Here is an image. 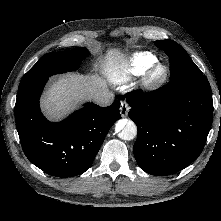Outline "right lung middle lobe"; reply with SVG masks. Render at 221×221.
<instances>
[{
	"instance_id": "1",
	"label": "right lung middle lobe",
	"mask_w": 221,
	"mask_h": 221,
	"mask_svg": "<svg viewBox=\"0 0 221 221\" xmlns=\"http://www.w3.org/2000/svg\"><path fill=\"white\" fill-rule=\"evenodd\" d=\"M87 54L88 50L83 47L47 53L25 74L19 87L57 73L75 71Z\"/></svg>"
}]
</instances>
